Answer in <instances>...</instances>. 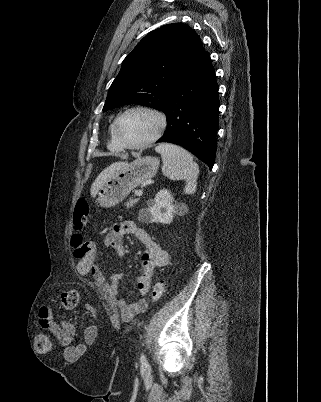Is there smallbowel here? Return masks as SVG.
<instances>
[{
    "instance_id": "1",
    "label": "small bowel",
    "mask_w": 321,
    "mask_h": 402,
    "mask_svg": "<svg viewBox=\"0 0 321 402\" xmlns=\"http://www.w3.org/2000/svg\"><path fill=\"white\" fill-rule=\"evenodd\" d=\"M125 235L136 237L146 248L141 256L142 271L136 280L138 298L133 303H127L118 296L117 286L121 279V274H113L108 283L111 295L119 309L121 320L130 322L135 316L146 310L147 304L143 297L149 291L152 273L156 268L168 264L169 254L152 239L146 229L140 227L133 221H123L114 224L112 229L104 236V247L112 251L116 257H124L126 249L123 243V237ZM90 273L97 282L102 284L107 283L104 271L99 265H94ZM85 308H91V305H85ZM38 319L43 328H47L58 337L64 348V357L68 361L83 358L86 347H94L96 345L95 337L99 333V328L95 324H89L85 328L83 332V344H75L73 325L68 321L56 322L54 320V308L52 306L42 305L39 309Z\"/></svg>"
}]
</instances>
